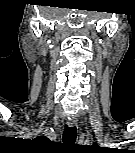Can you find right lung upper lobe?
<instances>
[{
    "label": "right lung upper lobe",
    "mask_w": 135,
    "mask_h": 153,
    "mask_svg": "<svg viewBox=\"0 0 135 153\" xmlns=\"http://www.w3.org/2000/svg\"><path fill=\"white\" fill-rule=\"evenodd\" d=\"M36 139L45 140V139H47V138L44 137V136H42V137H37Z\"/></svg>",
    "instance_id": "obj_1"
}]
</instances>
